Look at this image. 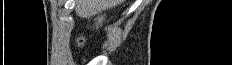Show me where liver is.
Returning a JSON list of instances; mask_svg holds the SVG:
<instances>
[{"label":"liver","mask_w":232,"mask_h":65,"mask_svg":"<svg viewBox=\"0 0 232 65\" xmlns=\"http://www.w3.org/2000/svg\"><path fill=\"white\" fill-rule=\"evenodd\" d=\"M76 14L81 18L93 16L103 10L115 7L124 0H74Z\"/></svg>","instance_id":"6515ba94"}]
</instances>
